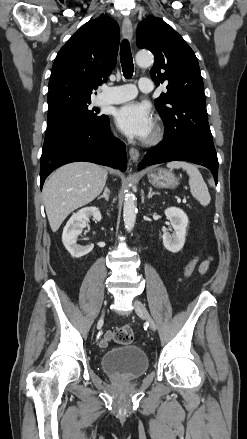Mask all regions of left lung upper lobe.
<instances>
[{
	"label": "left lung upper lobe",
	"mask_w": 247,
	"mask_h": 439,
	"mask_svg": "<svg viewBox=\"0 0 247 439\" xmlns=\"http://www.w3.org/2000/svg\"><path fill=\"white\" fill-rule=\"evenodd\" d=\"M137 45L154 54L150 75L156 85L167 84V93L155 99L165 133L214 145L207 119L204 84L190 46L159 18H148L138 25Z\"/></svg>",
	"instance_id": "5c2ea615"
}]
</instances>
